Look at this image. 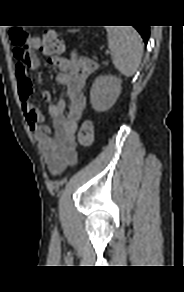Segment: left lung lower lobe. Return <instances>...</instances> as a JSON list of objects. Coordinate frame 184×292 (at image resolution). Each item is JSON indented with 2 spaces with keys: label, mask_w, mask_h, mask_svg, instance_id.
Listing matches in <instances>:
<instances>
[{
  "label": "left lung lower lobe",
  "mask_w": 184,
  "mask_h": 292,
  "mask_svg": "<svg viewBox=\"0 0 184 292\" xmlns=\"http://www.w3.org/2000/svg\"><path fill=\"white\" fill-rule=\"evenodd\" d=\"M137 31L141 34L145 44H147L148 38H149V26H144V25H136L134 26Z\"/></svg>",
  "instance_id": "obj_1"
}]
</instances>
